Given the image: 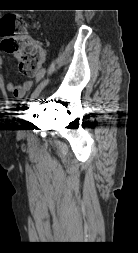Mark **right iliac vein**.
I'll use <instances>...</instances> for the list:
<instances>
[{"mask_svg": "<svg viewBox=\"0 0 138 253\" xmlns=\"http://www.w3.org/2000/svg\"><path fill=\"white\" fill-rule=\"evenodd\" d=\"M48 83H49V79L44 80L43 82H41L38 85V87L35 89L33 94L29 96L28 110H32V108L34 107V105L36 103V98L40 95V93L47 86Z\"/></svg>", "mask_w": 138, "mask_h": 253, "instance_id": "63e3f726", "label": "right iliac vein"}]
</instances>
